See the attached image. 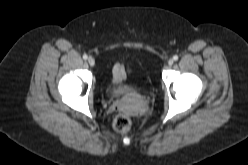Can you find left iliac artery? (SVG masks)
<instances>
[{"mask_svg":"<svg viewBox=\"0 0 248 165\" xmlns=\"http://www.w3.org/2000/svg\"><path fill=\"white\" fill-rule=\"evenodd\" d=\"M173 59H174V60H178V56H177V55H174V56H173Z\"/></svg>","mask_w":248,"mask_h":165,"instance_id":"obj_1","label":"left iliac artery"}]
</instances>
